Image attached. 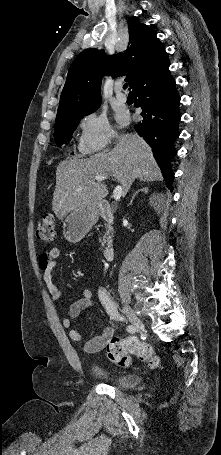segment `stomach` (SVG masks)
Segmentation results:
<instances>
[{
	"mask_svg": "<svg viewBox=\"0 0 221 455\" xmlns=\"http://www.w3.org/2000/svg\"><path fill=\"white\" fill-rule=\"evenodd\" d=\"M99 217L98 203L81 205L66 216L63 221V235L70 243L81 241Z\"/></svg>",
	"mask_w": 221,
	"mask_h": 455,
	"instance_id": "0dacf381",
	"label": "stomach"
}]
</instances>
